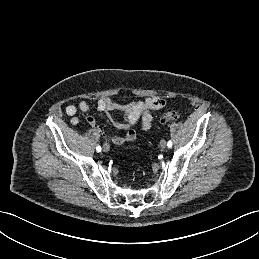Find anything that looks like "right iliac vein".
Here are the masks:
<instances>
[{"label": "right iliac vein", "mask_w": 259, "mask_h": 259, "mask_svg": "<svg viewBox=\"0 0 259 259\" xmlns=\"http://www.w3.org/2000/svg\"><path fill=\"white\" fill-rule=\"evenodd\" d=\"M110 150L109 144L105 143L103 144V151L108 152Z\"/></svg>", "instance_id": "right-iliac-vein-1"}]
</instances>
